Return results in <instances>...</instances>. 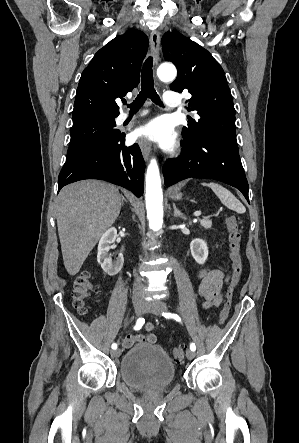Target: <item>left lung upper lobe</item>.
<instances>
[{
    "instance_id": "obj_1",
    "label": "left lung upper lobe",
    "mask_w": 299,
    "mask_h": 443,
    "mask_svg": "<svg viewBox=\"0 0 299 443\" xmlns=\"http://www.w3.org/2000/svg\"><path fill=\"white\" fill-rule=\"evenodd\" d=\"M162 48L165 60L178 68L171 90L187 89L192 95L187 110L200 116L188 118L183 138L194 141L218 136L236 143L235 109L222 67L206 49L178 32L165 33Z\"/></svg>"
}]
</instances>
